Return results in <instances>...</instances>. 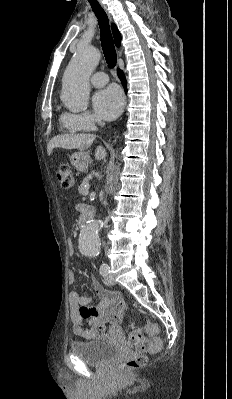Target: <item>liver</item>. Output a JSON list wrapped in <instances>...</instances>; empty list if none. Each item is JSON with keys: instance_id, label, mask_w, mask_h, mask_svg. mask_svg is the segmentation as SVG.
Masks as SVG:
<instances>
[{"instance_id": "liver-1", "label": "liver", "mask_w": 232, "mask_h": 399, "mask_svg": "<svg viewBox=\"0 0 232 399\" xmlns=\"http://www.w3.org/2000/svg\"><path fill=\"white\" fill-rule=\"evenodd\" d=\"M96 136L94 134H62L55 136L47 144V154L50 156L54 148H64V150H88L92 146ZM96 160H104L106 158V150L102 146H98L95 152Z\"/></svg>"}]
</instances>
